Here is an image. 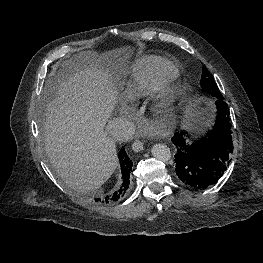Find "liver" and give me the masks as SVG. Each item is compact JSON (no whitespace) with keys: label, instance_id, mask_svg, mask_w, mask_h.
<instances>
[{"label":"liver","instance_id":"obj_1","mask_svg":"<svg viewBox=\"0 0 263 263\" xmlns=\"http://www.w3.org/2000/svg\"><path fill=\"white\" fill-rule=\"evenodd\" d=\"M129 56L126 47L96 61L84 53L81 64L53 87L45 114V151L65 183L76 190L99 189L117 167L115 142L104 130L117 100L109 72Z\"/></svg>","mask_w":263,"mask_h":263}]
</instances>
